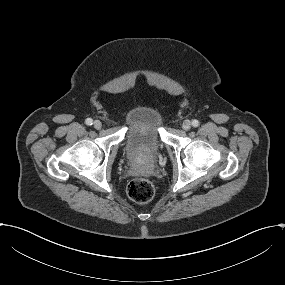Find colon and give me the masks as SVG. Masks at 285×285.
Listing matches in <instances>:
<instances>
[{
  "label": "colon",
  "instance_id": "1",
  "mask_svg": "<svg viewBox=\"0 0 285 285\" xmlns=\"http://www.w3.org/2000/svg\"><path fill=\"white\" fill-rule=\"evenodd\" d=\"M154 186L147 179H134L127 186V195L135 203L145 204L154 196Z\"/></svg>",
  "mask_w": 285,
  "mask_h": 285
}]
</instances>
